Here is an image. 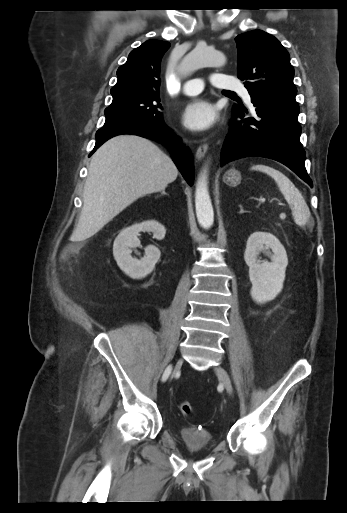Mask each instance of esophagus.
Wrapping results in <instances>:
<instances>
[{
  "instance_id": "1",
  "label": "esophagus",
  "mask_w": 347,
  "mask_h": 513,
  "mask_svg": "<svg viewBox=\"0 0 347 513\" xmlns=\"http://www.w3.org/2000/svg\"><path fill=\"white\" fill-rule=\"evenodd\" d=\"M208 150V144L207 143H204V144H201L197 150H196V158L198 160H202L206 154Z\"/></svg>"
}]
</instances>
